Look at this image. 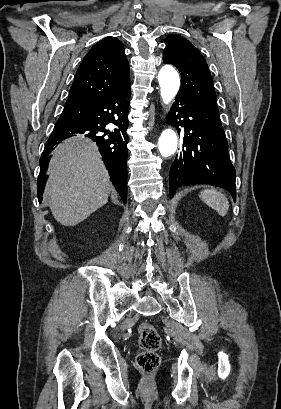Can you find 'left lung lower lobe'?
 I'll return each instance as SVG.
<instances>
[{
	"label": "left lung lower lobe",
	"instance_id": "left-lung-lower-lobe-1",
	"mask_svg": "<svg viewBox=\"0 0 281 409\" xmlns=\"http://www.w3.org/2000/svg\"><path fill=\"white\" fill-rule=\"evenodd\" d=\"M167 121L183 127V145L170 170V195L181 185L210 184L228 190L236 200L235 169L219 113L191 97L177 94Z\"/></svg>",
	"mask_w": 281,
	"mask_h": 409
}]
</instances>
